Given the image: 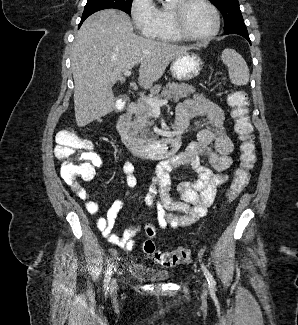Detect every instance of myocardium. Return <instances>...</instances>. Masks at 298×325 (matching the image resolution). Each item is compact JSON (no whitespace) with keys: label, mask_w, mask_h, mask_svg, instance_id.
Wrapping results in <instances>:
<instances>
[{"label":"myocardium","mask_w":298,"mask_h":325,"mask_svg":"<svg viewBox=\"0 0 298 325\" xmlns=\"http://www.w3.org/2000/svg\"><path fill=\"white\" fill-rule=\"evenodd\" d=\"M192 3H199L203 5L211 14L214 21V27L210 34L203 38H198L189 35L183 28L181 23V15L183 10ZM166 10L169 16V28L172 34L184 41L197 42V43H208L213 40L219 32L220 21L219 17L211 4L205 0H171L166 4Z\"/></svg>","instance_id":"f54148a6"}]
</instances>
